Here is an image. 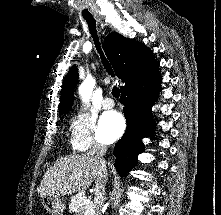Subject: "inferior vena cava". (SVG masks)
<instances>
[{"mask_svg":"<svg viewBox=\"0 0 221 215\" xmlns=\"http://www.w3.org/2000/svg\"><path fill=\"white\" fill-rule=\"evenodd\" d=\"M106 151L107 146L98 141L93 142L91 149L89 150V154L95 156L100 161V172L95 182V196L99 199L100 202L104 200L105 195L106 165L105 160H103L102 157L105 155Z\"/></svg>","mask_w":221,"mask_h":215,"instance_id":"602c4592","label":"inferior vena cava"}]
</instances>
